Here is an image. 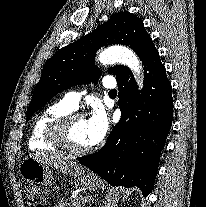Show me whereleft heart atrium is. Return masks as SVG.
<instances>
[{"mask_svg":"<svg viewBox=\"0 0 206 207\" xmlns=\"http://www.w3.org/2000/svg\"><path fill=\"white\" fill-rule=\"evenodd\" d=\"M109 129V121L105 110L101 106L95 107L87 120V134L90 146L101 142Z\"/></svg>","mask_w":206,"mask_h":207,"instance_id":"39dd6f15","label":"left heart atrium"}]
</instances>
